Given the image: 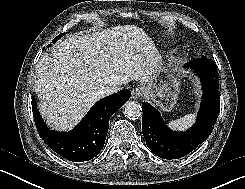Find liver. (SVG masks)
I'll list each match as a JSON object with an SVG mask.
<instances>
[{
	"label": "liver",
	"instance_id": "obj_1",
	"mask_svg": "<svg viewBox=\"0 0 245 189\" xmlns=\"http://www.w3.org/2000/svg\"><path fill=\"white\" fill-rule=\"evenodd\" d=\"M161 55L135 25H119L59 42L39 60L33 89L42 117L59 131L78 124L104 90L152 81Z\"/></svg>",
	"mask_w": 245,
	"mask_h": 189
}]
</instances>
